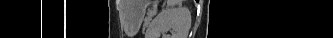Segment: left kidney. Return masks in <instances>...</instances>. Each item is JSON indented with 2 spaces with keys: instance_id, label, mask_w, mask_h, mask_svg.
I'll return each instance as SVG.
<instances>
[{
  "instance_id": "1",
  "label": "left kidney",
  "mask_w": 333,
  "mask_h": 38,
  "mask_svg": "<svg viewBox=\"0 0 333 38\" xmlns=\"http://www.w3.org/2000/svg\"><path fill=\"white\" fill-rule=\"evenodd\" d=\"M191 28V13L187 7L163 9L152 21L148 38H187ZM170 32L171 35H168Z\"/></svg>"
}]
</instances>
